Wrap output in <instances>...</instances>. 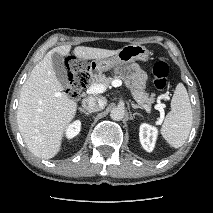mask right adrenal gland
Listing matches in <instances>:
<instances>
[{
  "mask_svg": "<svg viewBox=\"0 0 213 213\" xmlns=\"http://www.w3.org/2000/svg\"><path fill=\"white\" fill-rule=\"evenodd\" d=\"M79 111H80L81 113H84V114L87 115V116H89V115L91 114V112H88V111L84 110L83 108H79Z\"/></svg>",
  "mask_w": 213,
  "mask_h": 213,
  "instance_id": "right-adrenal-gland-1",
  "label": "right adrenal gland"
}]
</instances>
